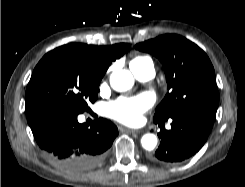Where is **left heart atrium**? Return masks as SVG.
Listing matches in <instances>:
<instances>
[{"label":"left heart atrium","mask_w":245,"mask_h":187,"mask_svg":"<svg viewBox=\"0 0 245 187\" xmlns=\"http://www.w3.org/2000/svg\"><path fill=\"white\" fill-rule=\"evenodd\" d=\"M153 105V98L149 94L135 97H121L108 104V115L122 123L134 125L141 121L145 113Z\"/></svg>","instance_id":"obj_1"}]
</instances>
